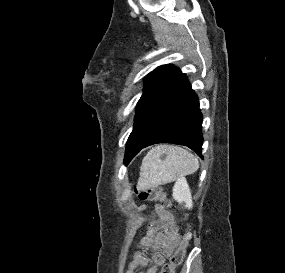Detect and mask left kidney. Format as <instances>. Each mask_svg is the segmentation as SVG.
<instances>
[{"label": "left kidney", "mask_w": 285, "mask_h": 273, "mask_svg": "<svg viewBox=\"0 0 285 273\" xmlns=\"http://www.w3.org/2000/svg\"><path fill=\"white\" fill-rule=\"evenodd\" d=\"M172 196L178 203H185L186 208H192V196L185 178H181L175 183Z\"/></svg>", "instance_id": "1"}]
</instances>
